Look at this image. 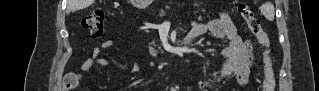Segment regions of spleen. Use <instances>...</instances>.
Returning a JSON list of instances; mask_svg holds the SVG:
<instances>
[{
    "mask_svg": "<svg viewBox=\"0 0 319 91\" xmlns=\"http://www.w3.org/2000/svg\"><path fill=\"white\" fill-rule=\"evenodd\" d=\"M260 10L267 20L269 21L274 20V6L271 2L264 3L261 6Z\"/></svg>",
    "mask_w": 319,
    "mask_h": 91,
    "instance_id": "spleen-1",
    "label": "spleen"
}]
</instances>
